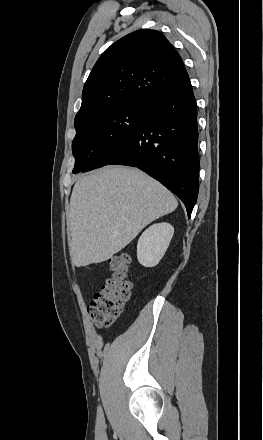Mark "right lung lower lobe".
<instances>
[{
    "mask_svg": "<svg viewBox=\"0 0 263 440\" xmlns=\"http://www.w3.org/2000/svg\"><path fill=\"white\" fill-rule=\"evenodd\" d=\"M137 167L184 203L190 217L199 190L197 105L189 77L147 102V115L106 165Z\"/></svg>",
    "mask_w": 263,
    "mask_h": 440,
    "instance_id": "obj_1",
    "label": "right lung lower lobe"
}]
</instances>
